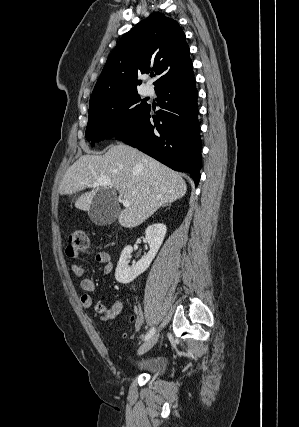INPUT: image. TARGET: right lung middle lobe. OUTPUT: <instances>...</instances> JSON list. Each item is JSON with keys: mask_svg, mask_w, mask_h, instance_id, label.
<instances>
[{"mask_svg": "<svg viewBox=\"0 0 299 427\" xmlns=\"http://www.w3.org/2000/svg\"><path fill=\"white\" fill-rule=\"evenodd\" d=\"M149 107L137 91L89 104L87 140L99 142L126 132L141 120Z\"/></svg>", "mask_w": 299, "mask_h": 427, "instance_id": "right-lung-middle-lobe-1", "label": "right lung middle lobe"}]
</instances>
